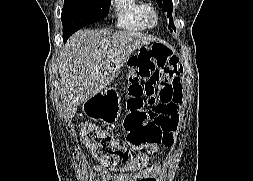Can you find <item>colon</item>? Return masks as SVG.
Segmentation results:
<instances>
[{"label": "colon", "mask_w": 253, "mask_h": 181, "mask_svg": "<svg viewBox=\"0 0 253 181\" xmlns=\"http://www.w3.org/2000/svg\"><path fill=\"white\" fill-rule=\"evenodd\" d=\"M140 53H149L159 66L171 67L178 72L173 50L163 41H152L150 48H140ZM127 87L126 116L123 129L129 145L136 148L156 149L173 142L172 131L177 118L170 114L171 98L161 92L148 94L139 83L135 73ZM85 143L102 166L113 171L137 169L146 163L142 155H134L129 148L117 141L105 130L85 124L81 129Z\"/></svg>", "instance_id": "obj_1"}]
</instances>
